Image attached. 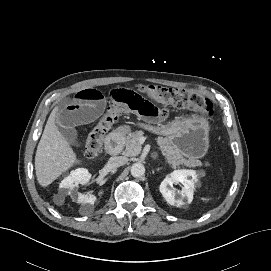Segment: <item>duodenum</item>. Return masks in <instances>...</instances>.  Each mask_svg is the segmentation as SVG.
I'll list each match as a JSON object with an SVG mask.
<instances>
[{"label":"duodenum","instance_id":"duodenum-1","mask_svg":"<svg viewBox=\"0 0 271 271\" xmlns=\"http://www.w3.org/2000/svg\"><path fill=\"white\" fill-rule=\"evenodd\" d=\"M123 133L121 130L112 131L105 140L107 152L112 156H117L122 147Z\"/></svg>","mask_w":271,"mask_h":271}]
</instances>
